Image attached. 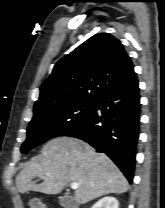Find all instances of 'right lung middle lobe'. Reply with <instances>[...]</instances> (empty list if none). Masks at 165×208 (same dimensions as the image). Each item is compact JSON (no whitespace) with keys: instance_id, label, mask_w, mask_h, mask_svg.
<instances>
[{"instance_id":"1","label":"right lung middle lobe","mask_w":165,"mask_h":208,"mask_svg":"<svg viewBox=\"0 0 165 208\" xmlns=\"http://www.w3.org/2000/svg\"><path fill=\"white\" fill-rule=\"evenodd\" d=\"M96 104L97 101H67L34 110L21 152L25 153L53 137L73 132L88 119Z\"/></svg>"}]
</instances>
